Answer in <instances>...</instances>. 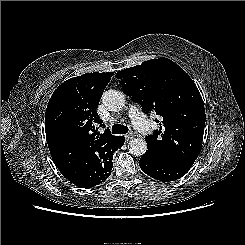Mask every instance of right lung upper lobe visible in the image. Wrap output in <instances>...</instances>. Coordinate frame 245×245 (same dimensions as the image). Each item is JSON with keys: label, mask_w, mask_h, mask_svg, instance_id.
Masks as SVG:
<instances>
[{"label": "right lung upper lobe", "mask_w": 245, "mask_h": 245, "mask_svg": "<svg viewBox=\"0 0 245 245\" xmlns=\"http://www.w3.org/2000/svg\"><path fill=\"white\" fill-rule=\"evenodd\" d=\"M113 72L86 73L71 78L54 91L45 114V132L50 154L56 166H73L84 183L95 173L89 167L93 150L119 136L109 129L100 134L102 124L96 110Z\"/></svg>", "instance_id": "cb5924a9"}]
</instances>
